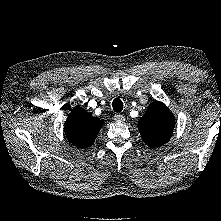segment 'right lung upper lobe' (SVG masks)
<instances>
[{"instance_id": "obj_1", "label": "right lung upper lobe", "mask_w": 221, "mask_h": 221, "mask_svg": "<svg viewBox=\"0 0 221 221\" xmlns=\"http://www.w3.org/2000/svg\"><path fill=\"white\" fill-rule=\"evenodd\" d=\"M103 120L93 117L77 106L69 114L65 123V135L70 143L78 148L91 146L103 126Z\"/></svg>"}]
</instances>
